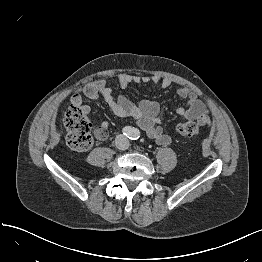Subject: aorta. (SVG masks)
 <instances>
[{"instance_id": "1", "label": "aorta", "mask_w": 262, "mask_h": 262, "mask_svg": "<svg viewBox=\"0 0 262 262\" xmlns=\"http://www.w3.org/2000/svg\"><path fill=\"white\" fill-rule=\"evenodd\" d=\"M130 136H131L132 138H137V137H139V130H138V129H133L132 132H131V134H130Z\"/></svg>"}]
</instances>
